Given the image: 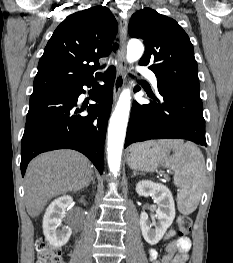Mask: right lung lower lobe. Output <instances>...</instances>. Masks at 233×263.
I'll return each mask as SVG.
<instances>
[{
	"instance_id": "obj_1",
	"label": "right lung lower lobe",
	"mask_w": 233,
	"mask_h": 263,
	"mask_svg": "<svg viewBox=\"0 0 233 263\" xmlns=\"http://www.w3.org/2000/svg\"><path fill=\"white\" fill-rule=\"evenodd\" d=\"M116 70L106 72L105 84L95 80L31 95L21 143V173L36 155L56 149H75L86 155L103 172L105 133L111 112ZM95 87L97 104L77 103L83 86ZM88 112L87 115L82 114Z\"/></svg>"
}]
</instances>
